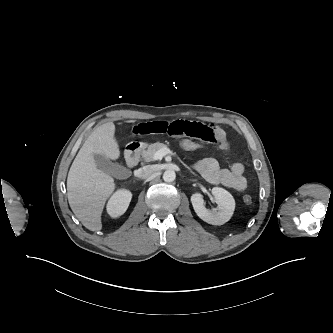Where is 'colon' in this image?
Listing matches in <instances>:
<instances>
[{
    "instance_id": "5ec220e1",
    "label": "colon",
    "mask_w": 333,
    "mask_h": 333,
    "mask_svg": "<svg viewBox=\"0 0 333 333\" xmlns=\"http://www.w3.org/2000/svg\"><path fill=\"white\" fill-rule=\"evenodd\" d=\"M177 147L186 152L200 151L206 148V142L190 137L177 138L175 140ZM252 197L248 194L243 196V201L246 204L252 203Z\"/></svg>"
}]
</instances>
